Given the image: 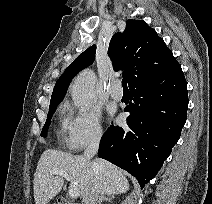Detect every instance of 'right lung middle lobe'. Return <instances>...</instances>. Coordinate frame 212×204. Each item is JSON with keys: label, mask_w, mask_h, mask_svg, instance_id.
I'll return each mask as SVG.
<instances>
[{"label": "right lung middle lobe", "mask_w": 212, "mask_h": 204, "mask_svg": "<svg viewBox=\"0 0 212 204\" xmlns=\"http://www.w3.org/2000/svg\"><path fill=\"white\" fill-rule=\"evenodd\" d=\"M57 105L58 104H50L49 113H48V116H47V121H46V123H45V125L43 127L42 132H41V136H46V130L49 127L50 119H51L53 113L55 112Z\"/></svg>", "instance_id": "1"}]
</instances>
